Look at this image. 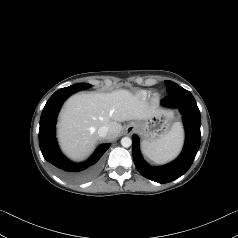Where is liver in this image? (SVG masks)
Here are the masks:
<instances>
[{
  "label": "liver",
  "mask_w": 238,
  "mask_h": 238,
  "mask_svg": "<svg viewBox=\"0 0 238 238\" xmlns=\"http://www.w3.org/2000/svg\"><path fill=\"white\" fill-rule=\"evenodd\" d=\"M144 99L121 89L111 93H82L65 103L58 123V139L62 150L74 160L86 157L94 149L98 129L107 126V138L115 139L121 132L120 122L142 121L157 113Z\"/></svg>",
  "instance_id": "6515ba94"
}]
</instances>
